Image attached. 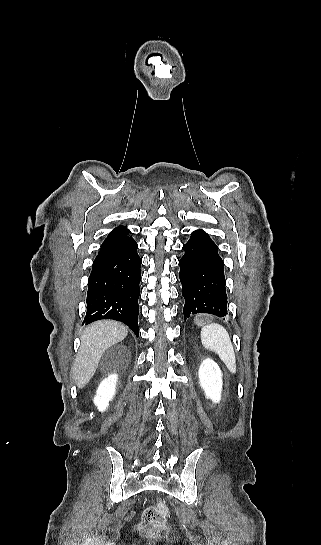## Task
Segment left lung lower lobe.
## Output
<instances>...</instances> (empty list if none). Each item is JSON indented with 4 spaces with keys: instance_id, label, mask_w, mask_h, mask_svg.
Returning <instances> with one entry per match:
<instances>
[{
    "instance_id": "obj_1",
    "label": "left lung lower lobe",
    "mask_w": 321,
    "mask_h": 545,
    "mask_svg": "<svg viewBox=\"0 0 321 545\" xmlns=\"http://www.w3.org/2000/svg\"><path fill=\"white\" fill-rule=\"evenodd\" d=\"M182 249L185 253L179 262V276L185 320L197 313L226 316L224 263L216 244L207 233L196 230Z\"/></svg>"
}]
</instances>
